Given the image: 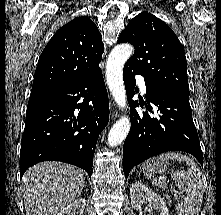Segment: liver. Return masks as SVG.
Returning <instances> with one entry per match:
<instances>
[{
    "instance_id": "6515ba94",
    "label": "liver",
    "mask_w": 221,
    "mask_h": 215,
    "mask_svg": "<svg viewBox=\"0 0 221 215\" xmlns=\"http://www.w3.org/2000/svg\"><path fill=\"white\" fill-rule=\"evenodd\" d=\"M85 186L84 172L76 166L47 161L23 176L26 215H56L75 201Z\"/></svg>"
}]
</instances>
